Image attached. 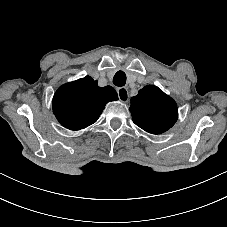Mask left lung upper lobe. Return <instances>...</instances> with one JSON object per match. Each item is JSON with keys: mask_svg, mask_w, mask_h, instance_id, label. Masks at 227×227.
Instances as JSON below:
<instances>
[{"mask_svg": "<svg viewBox=\"0 0 227 227\" xmlns=\"http://www.w3.org/2000/svg\"><path fill=\"white\" fill-rule=\"evenodd\" d=\"M130 111L133 122L152 134L167 131L178 118L176 102L154 85L145 86L131 98Z\"/></svg>", "mask_w": 227, "mask_h": 227, "instance_id": "obj_1", "label": "left lung upper lobe"}]
</instances>
